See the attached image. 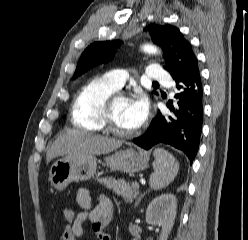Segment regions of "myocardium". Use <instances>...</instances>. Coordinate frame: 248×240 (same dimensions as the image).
<instances>
[{"mask_svg":"<svg viewBox=\"0 0 248 240\" xmlns=\"http://www.w3.org/2000/svg\"><path fill=\"white\" fill-rule=\"evenodd\" d=\"M116 92V91H115ZM113 93L105 102L102 112H101V117H100V122L105 131L111 132L113 134L119 135V136H131L137 132V129L129 130V131H124L120 130L117 128L114 124L112 115H111V107L115 99L121 96H125L123 92H118V93Z\"/></svg>","mask_w":248,"mask_h":240,"instance_id":"obj_1","label":"myocardium"}]
</instances>
